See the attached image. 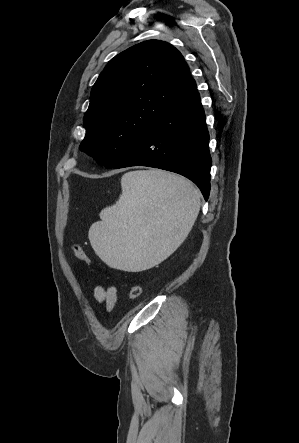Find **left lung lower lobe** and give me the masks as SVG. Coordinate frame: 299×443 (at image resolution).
Wrapping results in <instances>:
<instances>
[{"mask_svg":"<svg viewBox=\"0 0 299 443\" xmlns=\"http://www.w3.org/2000/svg\"><path fill=\"white\" fill-rule=\"evenodd\" d=\"M208 142L205 113L192 79L112 168L148 166L181 174L207 200L212 162Z\"/></svg>","mask_w":299,"mask_h":443,"instance_id":"left-lung-lower-lobe-1","label":"left lung lower lobe"}]
</instances>
